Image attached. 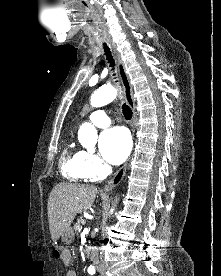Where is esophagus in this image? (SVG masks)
<instances>
[{"label":"esophagus","instance_id":"esophagus-1","mask_svg":"<svg viewBox=\"0 0 221 276\" xmlns=\"http://www.w3.org/2000/svg\"><path fill=\"white\" fill-rule=\"evenodd\" d=\"M111 47L113 50V54L115 56L116 62H117V68H118V73L124 88V98L127 104L130 106V108L133 111V133L135 130V121H136V112H135V102L133 98V89L132 85L130 83L128 74L126 72L124 63L121 59L120 53L118 52L115 44L111 43ZM127 164L126 162L114 175V177L104 186V191H109L112 190L114 187H116L120 181L123 179L126 169H127Z\"/></svg>","mask_w":221,"mask_h":276}]
</instances>
